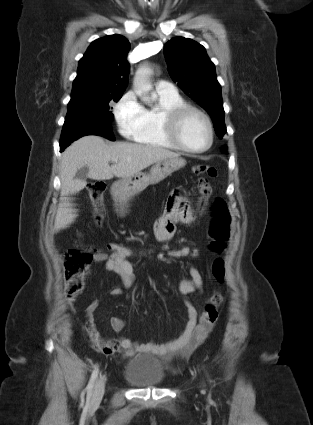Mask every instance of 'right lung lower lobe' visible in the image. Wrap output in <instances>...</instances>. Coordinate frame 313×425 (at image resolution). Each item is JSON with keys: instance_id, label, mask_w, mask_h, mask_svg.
Wrapping results in <instances>:
<instances>
[{"instance_id": "right-lung-lower-lobe-1", "label": "right lung lower lobe", "mask_w": 313, "mask_h": 425, "mask_svg": "<svg viewBox=\"0 0 313 425\" xmlns=\"http://www.w3.org/2000/svg\"><path fill=\"white\" fill-rule=\"evenodd\" d=\"M87 135H98L114 140L109 122L95 115L74 114L70 121L64 123L60 139V152L71 142Z\"/></svg>"}]
</instances>
